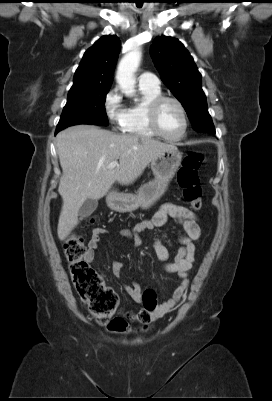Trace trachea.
<instances>
[{"mask_svg":"<svg viewBox=\"0 0 272 401\" xmlns=\"http://www.w3.org/2000/svg\"><path fill=\"white\" fill-rule=\"evenodd\" d=\"M138 7H141L142 5H137Z\"/></svg>","mask_w":272,"mask_h":401,"instance_id":"obj_1","label":"trachea"}]
</instances>
